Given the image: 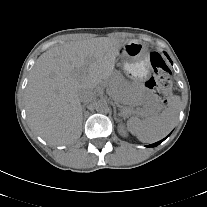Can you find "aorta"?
<instances>
[{"label": "aorta", "instance_id": "aorta-1", "mask_svg": "<svg viewBox=\"0 0 207 207\" xmlns=\"http://www.w3.org/2000/svg\"><path fill=\"white\" fill-rule=\"evenodd\" d=\"M95 109L97 112L107 113L109 110V107L106 101L100 100L96 103Z\"/></svg>", "mask_w": 207, "mask_h": 207}]
</instances>
